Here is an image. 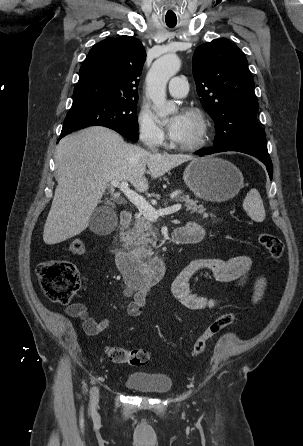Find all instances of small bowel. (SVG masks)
<instances>
[{"mask_svg": "<svg viewBox=\"0 0 303 446\" xmlns=\"http://www.w3.org/2000/svg\"><path fill=\"white\" fill-rule=\"evenodd\" d=\"M181 230L188 235L191 243L199 242L204 237V229L195 222H189ZM251 259L248 256H235L230 259L204 258L191 261L176 276L171 285V291L177 301L187 309L204 311L215 308L219 301L196 293L193 290V281L202 274H210L220 282H233L243 285L249 278ZM266 281L258 277L253 286L252 301L257 302L263 295ZM150 286L138 290L127 288L125 295L132 296L133 300L127 307V314L131 318L140 316L146 303ZM69 317L81 320L84 332L89 336H95L103 332L109 326V320L103 318L96 320L91 317L88 308L83 303H73L65 308Z\"/></svg>", "mask_w": 303, "mask_h": 446, "instance_id": "obj_1", "label": "small bowel"}]
</instances>
